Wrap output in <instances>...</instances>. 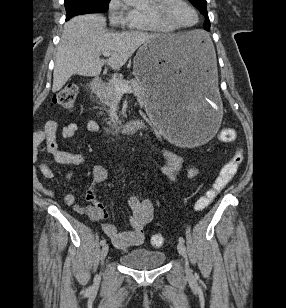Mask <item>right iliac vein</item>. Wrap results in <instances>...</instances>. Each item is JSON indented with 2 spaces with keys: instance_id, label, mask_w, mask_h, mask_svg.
<instances>
[{
  "instance_id": "right-iliac-vein-1",
  "label": "right iliac vein",
  "mask_w": 286,
  "mask_h": 308,
  "mask_svg": "<svg viewBox=\"0 0 286 308\" xmlns=\"http://www.w3.org/2000/svg\"><path fill=\"white\" fill-rule=\"evenodd\" d=\"M109 251V246L107 244L103 245L102 249H101V259H105V257L107 256Z\"/></svg>"
}]
</instances>
